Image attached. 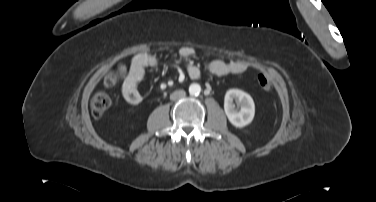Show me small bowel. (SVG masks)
<instances>
[{"label":"small bowel","instance_id":"1","mask_svg":"<svg viewBox=\"0 0 376 202\" xmlns=\"http://www.w3.org/2000/svg\"><path fill=\"white\" fill-rule=\"evenodd\" d=\"M195 54V49L190 46H183L179 50L180 57L188 61ZM158 58L150 53L142 52L136 54L129 66L121 65L119 71L123 77L121 93L123 99L130 105H138L142 101V95L139 91V84L143 80L147 68L157 67ZM207 70L217 76L227 74H242L247 70V65L241 61H223L220 59L209 62ZM186 71L190 78L198 79L201 77V70L194 64L188 63Z\"/></svg>","mask_w":376,"mask_h":202}]
</instances>
